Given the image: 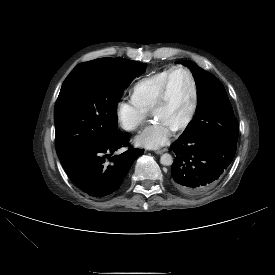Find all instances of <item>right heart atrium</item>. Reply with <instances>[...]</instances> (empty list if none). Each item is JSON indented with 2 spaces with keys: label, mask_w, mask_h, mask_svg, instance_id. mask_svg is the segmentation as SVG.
I'll return each instance as SVG.
<instances>
[{
  "label": "right heart atrium",
  "mask_w": 275,
  "mask_h": 275,
  "mask_svg": "<svg viewBox=\"0 0 275 275\" xmlns=\"http://www.w3.org/2000/svg\"><path fill=\"white\" fill-rule=\"evenodd\" d=\"M148 112L132 100L120 99L115 106V117L122 129L128 132L137 130L145 121Z\"/></svg>",
  "instance_id": "obj_1"
}]
</instances>
